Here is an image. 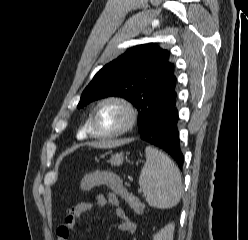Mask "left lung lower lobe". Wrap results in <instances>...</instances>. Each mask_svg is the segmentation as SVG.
<instances>
[{
	"label": "left lung lower lobe",
	"instance_id": "left-lung-lower-lobe-1",
	"mask_svg": "<svg viewBox=\"0 0 248 240\" xmlns=\"http://www.w3.org/2000/svg\"><path fill=\"white\" fill-rule=\"evenodd\" d=\"M178 121V110L174 100L155 114L146 129L140 132V138L166 151L182 168L184 156L180 148Z\"/></svg>",
	"mask_w": 248,
	"mask_h": 240
}]
</instances>
